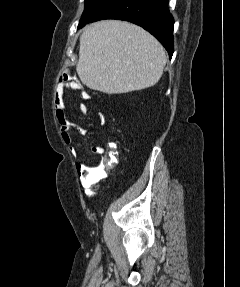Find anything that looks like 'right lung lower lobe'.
Instances as JSON below:
<instances>
[{"label":"right lung lower lobe","mask_w":240,"mask_h":287,"mask_svg":"<svg viewBox=\"0 0 240 287\" xmlns=\"http://www.w3.org/2000/svg\"><path fill=\"white\" fill-rule=\"evenodd\" d=\"M102 19L125 20L143 27L161 42L171 59L174 20L168 0H109L90 22Z\"/></svg>","instance_id":"98d812e1"}]
</instances>
